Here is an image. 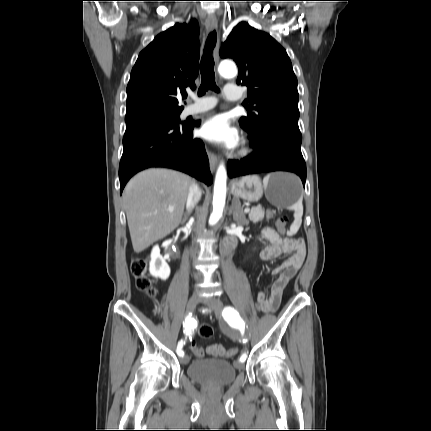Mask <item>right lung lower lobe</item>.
<instances>
[{"mask_svg": "<svg viewBox=\"0 0 431 431\" xmlns=\"http://www.w3.org/2000/svg\"><path fill=\"white\" fill-rule=\"evenodd\" d=\"M199 125V121L150 120L126 127L119 167L120 193L134 174L150 167L179 170L210 185L212 176L204 144L193 137V128Z\"/></svg>", "mask_w": 431, "mask_h": 431, "instance_id": "98d812e1", "label": "right lung lower lobe"}]
</instances>
